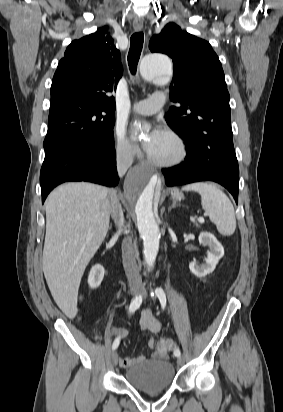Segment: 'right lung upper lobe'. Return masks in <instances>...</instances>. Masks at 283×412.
<instances>
[{"label": "right lung upper lobe", "mask_w": 283, "mask_h": 412, "mask_svg": "<svg viewBox=\"0 0 283 412\" xmlns=\"http://www.w3.org/2000/svg\"><path fill=\"white\" fill-rule=\"evenodd\" d=\"M107 28L74 40L60 60L51 86L49 115L63 114L71 106L97 107L115 112L116 91L122 76L120 52L105 37Z\"/></svg>", "instance_id": "obj_1"}]
</instances>
